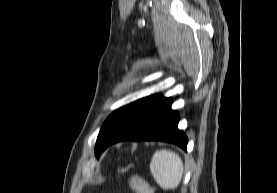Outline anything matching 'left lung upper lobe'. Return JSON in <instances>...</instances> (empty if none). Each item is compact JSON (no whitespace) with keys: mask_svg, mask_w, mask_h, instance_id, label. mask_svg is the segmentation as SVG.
Wrapping results in <instances>:
<instances>
[{"mask_svg":"<svg viewBox=\"0 0 277 193\" xmlns=\"http://www.w3.org/2000/svg\"><path fill=\"white\" fill-rule=\"evenodd\" d=\"M128 106V105H127ZM123 107L117 111H115L114 113H112L107 120L104 122L102 128L100 129L99 135L97 137V142H96V146H95V154L97 156V158L101 155V149H100V140L103 137L104 133L107 131V129L109 128V126L111 125V123L114 121V119L127 107Z\"/></svg>","mask_w":277,"mask_h":193,"instance_id":"1","label":"left lung upper lobe"}]
</instances>
